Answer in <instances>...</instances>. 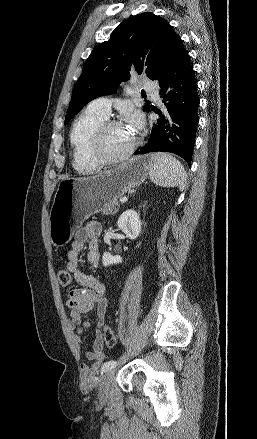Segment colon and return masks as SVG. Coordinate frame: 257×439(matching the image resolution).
I'll return each mask as SVG.
<instances>
[{"label": "colon", "mask_w": 257, "mask_h": 439, "mask_svg": "<svg viewBox=\"0 0 257 439\" xmlns=\"http://www.w3.org/2000/svg\"><path fill=\"white\" fill-rule=\"evenodd\" d=\"M58 281L61 286L67 287L71 284L72 277L71 274L66 270H60L58 272ZM100 333L104 339V341L109 346H114L116 344V336L113 332V330L108 325H103L100 328Z\"/></svg>", "instance_id": "colon-1"}]
</instances>
